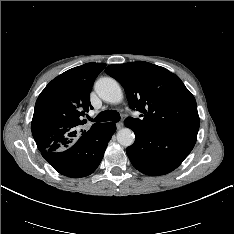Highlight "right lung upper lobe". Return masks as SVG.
<instances>
[{
  "label": "right lung upper lobe",
  "instance_id": "1",
  "mask_svg": "<svg viewBox=\"0 0 234 234\" xmlns=\"http://www.w3.org/2000/svg\"><path fill=\"white\" fill-rule=\"evenodd\" d=\"M104 63H86L53 79L41 92L32 119V134L41 152L69 148L87 131L80 129L89 111L90 92ZM100 123L93 124L91 128Z\"/></svg>",
  "mask_w": 234,
  "mask_h": 234
}]
</instances>
